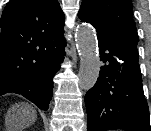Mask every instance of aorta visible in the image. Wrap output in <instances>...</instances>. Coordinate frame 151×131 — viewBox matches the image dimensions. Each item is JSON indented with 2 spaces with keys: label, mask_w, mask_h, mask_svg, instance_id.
I'll return each mask as SVG.
<instances>
[{
  "label": "aorta",
  "mask_w": 151,
  "mask_h": 131,
  "mask_svg": "<svg viewBox=\"0 0 151 131\" xmlns=\"http://www.w3.org/2000/svg\"><path fill=\"white\" fill-rule=\"evenodd\" d=\"M76 45L80 56L79 87L89 90L95 85L100 71L97 37L91 25L79 26Z\"/></svg>",
  "instance_id": "762f6f07"
}]
</instances>
